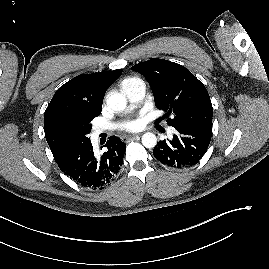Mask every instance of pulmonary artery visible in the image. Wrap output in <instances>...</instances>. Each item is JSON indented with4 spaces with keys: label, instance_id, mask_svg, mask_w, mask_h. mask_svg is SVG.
I'll return each instance as SVG.
<instances>
[{
    "label": "pulmonary artery",
    "instance_id": "e3ab8cb5",
    "mask_svg": "<svg viewBox=\"0 0 269 269\" xmlns=\"http://www.w3.org/2000/svg\"><path fill=\"white\" fill-rule=\"evenodd\" d=\"M121 89L132 104H137L141 102L146 92L145 84L141 80L126 84ZM99 131L100 130H98L97 132ZM170 132H173L172 128L170 129Z\"/></svg>",
    "mask_w": 269,
    "mask_h": 269
}]
</instances>
